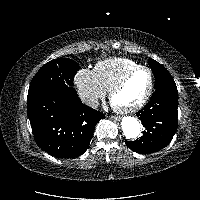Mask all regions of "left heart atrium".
I'll return each mask as SVG.
<instances>
[{
  "instance_id": "1",
  "label": "left heart atrium",
  "mask_w": 200,
  "mask_h": 200,
  "mask_svg": "<svg viewBox=\"0 0 200 200\" xmlns=\"http://www.w3.org/2000/svg\"><path fill=\"white\" fill-rule=\"evenodd\" d=\"M112 105H113V106H116L113 102H112Z\"/></svg>"
}]
</instances>
